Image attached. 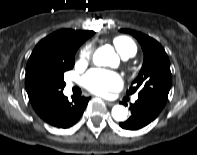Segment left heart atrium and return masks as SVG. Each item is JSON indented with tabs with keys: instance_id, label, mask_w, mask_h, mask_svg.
<instances>
[{
	"instance_id": "1",
	"label": "left heart atrium",
	"mask_w": 197,
	"mask_h": 155,
	"mask_svg": "<svg viewBox=\"0 0 197 155\" xmlns=\"http://www.w3.org/2000/svg\"><path fill=\"white\" fill-rule=\"evenodd\" d=\"M84 86L94 94L106 95L122 87L121 77L112 71L93 69L83 78Z\"/></svg>"
}]
</instances>
